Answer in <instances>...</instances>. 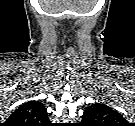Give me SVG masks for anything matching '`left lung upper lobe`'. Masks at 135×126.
<instances>
[{
    "instance_id": "1",
    "label": "left lung upper lobe",
    "mask_w": 135,
    "mask_h": 126,
    "mask_svg": "<svg viewBox=\"0 0 135 126\" xmlns=\"http://www.w3.org/2000/svg\"><path fill=\"white\" fill-rule=\"evenodd\" d=\"M82 122L86 126H123L124 118L106 104L94 103L84 111Z\"/></svg>"
}]
</instances>
